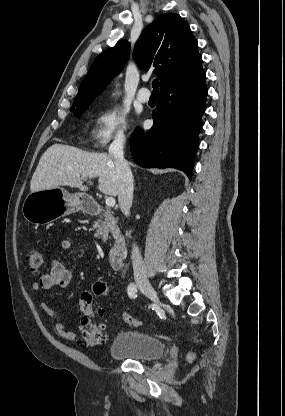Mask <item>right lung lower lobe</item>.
I'll list each match as a JSON object with an SVG mask.
<instances>
[{
	"label": "right lung lower lobe",
	"instance_id": "1",
	"mask_svg": "<svg viewBox=\"0 0 285 416\" xmlns=\"http://www.w3.org/2000/svg\"><path fill=\"white\" fill-rule=\"evenodd\" d=\"M205 78L203 72L160 91L153 127L147 132L138 128L131 135V153L138 165L177 168L191 179L206 107Z\"/></svg>",
	"mask_w": 285,
	"mask_h": 416
}]
</instances>
